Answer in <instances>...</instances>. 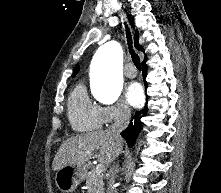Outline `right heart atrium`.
<instances>
[{"instance_id": "right-heart-atrium-1", "label": "right heart atrium", "mask_w": 221, "mask_h": 193, "mask_svg": "<svg viewBox=\"0 0 221 193\" xmlns=\"http://www.w3.org/2000/svg\"><path fill=\"white\" fill-rule=\"evenodd\" d=\"M130 109L123 103L102 107V122L109 125L114 122L127 120L130 118Z\"/></svg>"}]
</instances>
